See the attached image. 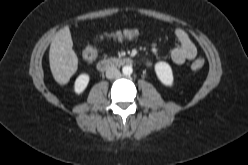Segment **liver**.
I'll use <instances>...</instances> for the list:
<instances>
[{"instance_id": "1", "label": "liver", "mask_w": 248, "mask_h": 165, "mask_svg": "<svg viewBox=\"0 0 248 165\" xmlns=\"http://www.w3.org/2000/svg\"><path fill=\"white\" fill-rule=\"evenodd\" d=\"M72 47L70 29L65 26L55 34L49 50L50 69L60 85L68 83L78 68V58Z\"/></svg>"}]
</instances>
